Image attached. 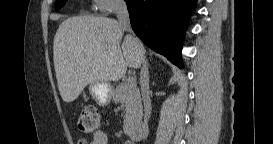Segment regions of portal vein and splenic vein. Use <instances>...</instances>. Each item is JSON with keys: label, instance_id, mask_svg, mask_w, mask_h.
I'll return each instance as SVG.
<instances>
[{"label": "portal vein and splenic vein", "instance_id": "obj_1", "mask_svg": "<svg viewBox=\"0 0 273 144\" xmlns=\"http://www.w3.org/2000/svg\"><path fill=\"white\" fill-rule=\"evenodd\" d=\"M127 86H129V87H134V86H136V80L134 79V78H128L127 79Z\"/></svg>", "mask_w": 273, "mask_h": 144}]
</instances>
